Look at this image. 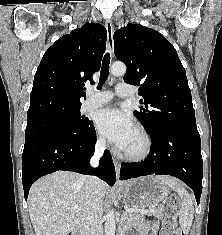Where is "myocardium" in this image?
<instances>
[{"label": "myocardium", "mask_w": 222, "mask_h": 235, "mask_svg": "<svg viewBox=\"0 0 222 235\" xmlns=\"http://www.w3.org/2000/svg\"><path fill=\"white\" fill-rule=\"evenodd\" d=\"M136 132L142 138V141H143L142 148L138 151H134V152L124 151L122 153V157L124 159L128 161H132V162H139V161L145 160L151 154L153 150V141L148 131L142 126H137Z\"/></svg>", "instance_id": "1"}]
</instances>
